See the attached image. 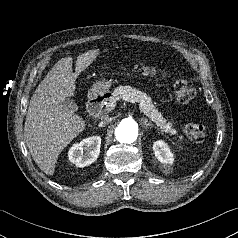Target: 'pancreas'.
<instances>
[{
	"mask_svg": "<svg viewBox=\"0 0 238 238\" xmlns=\"http://www.w3.org/2000/svg\"><path fill=\"white\" fill-rule=\"evenodd\" d=\"M124 98L133 99L135 102L139 103L141 111L148 118H150V120L153 121L156 126L161 129V131L169 133L170 135H176L177 131L172 128V123L167 122V120L163 118L162 114L158 112L152 103L151 97H149L146 93L130 86L116 87L112 96L108 99L109 102L105 105V108L101 111V113L106 114L111 111L113 109L111 106L116 104V102L121 99L124 100Z\"/></svg>",
	"mask_w": 238,
	"mask_h": 238,
	"instance_id": "cf45deb5",
	"label": "pancreas"
}]
</instances>
